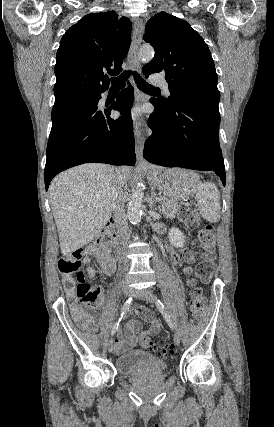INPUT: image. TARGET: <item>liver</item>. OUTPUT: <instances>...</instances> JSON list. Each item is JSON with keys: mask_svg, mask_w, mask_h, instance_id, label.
I'll return each instance as SVG.
<instances>
[{"mask_svg": "<svg viewBox=\"0 0 274 427\" xmlns=\"http://www.w3.org/2000/svg\"><path fill=\"white\" fill-rule=\"evenodd\" d=\"M130 168L83 164L62 172L49 186V200L58 229L62 255L89 243L112 214V196L119 182L129 180Z\"/></svg>", "mask_w": 274, "mask_h": 427, "instance_id": "6515ba94", "label": "liver"}]
</instances>
